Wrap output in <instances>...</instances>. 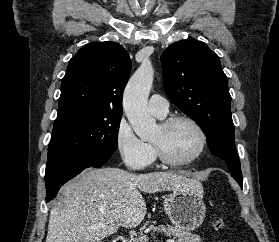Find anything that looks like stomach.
Instances as JSON below:
<instances>
[{"mask_svg": "<svg viewBox=\"0 0 279 242\" xmlns=\"http://www.w3.org/2000/svg\"><path fill=\"white\" fill-rule=\"evenodd\" d=\"M164 210L170 221L180 229H197L206 216V206L202 199V188L176 190L164 199Z\"/></svg>", "mask_w": 279, "mask_h": 242, "instance_id": "obj_1", "label": "stomach"}]
</instances>
